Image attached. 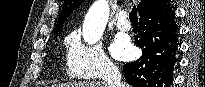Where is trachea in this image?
<instances>
[{"instance_id": "1", "label": "trachea", "mask_w": 205, "mask_h": 87, "mask_svg": "<svg viewBox=\"0 0 205 87\" xmlns=\"http://www.w3.org/2000/svg\"><path fill=\"white\" fill-rule=\"evenodd\" d=\"M129 18L131 22H138L137 8L135 6H133L131 12L129 13Z\"/></svg>"}]
</instances>
